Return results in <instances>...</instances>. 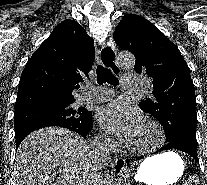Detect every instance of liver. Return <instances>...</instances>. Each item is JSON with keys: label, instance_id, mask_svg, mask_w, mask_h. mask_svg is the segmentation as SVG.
<instances>
[{"label": "liver", "instance_id": "liver-1", "mask_svg": "<svg viewBox=\"0 0 207 185\" xmlns=\"http://www.w3.org/2000/svg\"><path fill=\"white\" fill-rule=\"evenodd\" d=\"M95 153L70 129L43 127L30 133L16 153L14 185H92Z\"/></svg>", "mask_w": 207, "mask_h": 185}]
</instances>
